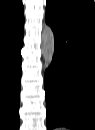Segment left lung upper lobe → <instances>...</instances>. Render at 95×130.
<instances>
[{
    "label": "left lung upper lobe",
    "instance_id": "5c2ea615",
    "mask_svg": "<svg viewBox=\"0 0 95 130\" xmlns=\"http://www.w3.org/2000/svg\"><path fill=\"white\" fill-rule=\"evenodd\" d=\"M46 14L52 18H77L95 25L92 0H47Z\"/></svg>",
    "mask_w": 95,
    "mask_h": 130
}]
</instances>
